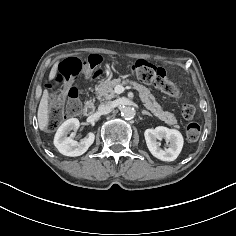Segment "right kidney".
<instances>
[{"label":"right kidney","mask_w":236,"mask_h":236,"mask_svg":"<svg viewBox=\"0 0 236 236\" xmlns=\"http://www.w3.org/2000/svg\"><path fill=\"white\" fill-rule=\"evenodd\" d=\"M79 126L78 119L70 118L58 128L54 137V145L61 154L70 157L80 156L93 144L95 135L92 132H89L79 143L67 136L71 131H77Z\"/></svg>","instance_id":"1"}]
</instances>
